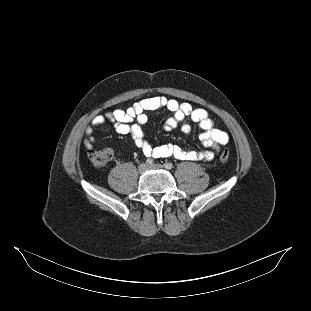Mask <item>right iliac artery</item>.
<instances>
[{"instance_id":"82829eb1","label":"right iliac artery","mask_w":311,"mask_h":311,"mask_svg":"<svg viewBox=\"0 0 311 311\" xmlns=\"http://www.w3.org/2000/svg\"><path fill=\"white\" fill-rule=\"evenodd\" d=\"M146 163L148 164V165H152L153 163H154V161L152 160V159H147L146 160Z\"/></svg>"}]
</instances>
